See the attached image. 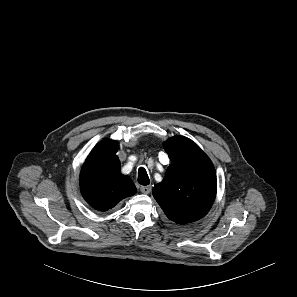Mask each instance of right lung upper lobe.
<instances>
[{
	"label": "right lung upper lobe",
	"instance_id": "right-lung-upper-lobe-1",
	"mask_svg": "<svg viewBox=\"0 0 297 297\" xmlns=\"http://www.w3.org/2000/svg\"><path fill=\"white\" fill-rule=\"evenodd\" d=\"M117 142L103 140L86 158L80 173V189L86 202L106 211L136 193L132 180L120 172Z\"/></svg>",
	"mask_w": 297,
	"mask_h": 297
}]
</instances>
